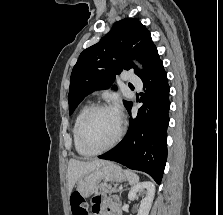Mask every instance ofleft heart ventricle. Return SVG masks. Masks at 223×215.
Wrapping results in <instances>:
<instances>
[{"label":"left heart ventricle","instance_id":"obj_1","mask_svg":"<svg viewBox=\"0 0 223 215\" xmlns=\"http://www.w3.org/2000/svg\"><path fill=\"white\" fill-rule=\"evenodd\" d=\"M119 117L110 109L98 111L90 120L85 133L86 144L94 150L108 146L119 130Z\"/></svg>","mask_w":223,"mask_h":215}]
</instances>
